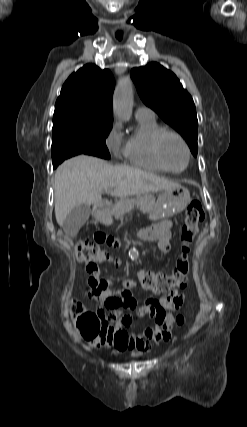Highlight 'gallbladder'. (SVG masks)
<instances>
[{"mask_svg": "<svg viewBox=\"0 0 247 427\" xmlns=\"http://www.w3.org/2000/svg\"><path fill=\"white\" fill-rule=\"evenodd\" d=\"M90 212V206L86 204L77 205L73 208L64 219L62 225L64 232L71 237L75 236L88 220Z\"/></svg>", "mask_w": 247, "mask_h": 427, "instance_id": "bac80fb5", "label": "gallbladder"}]
</instances>
